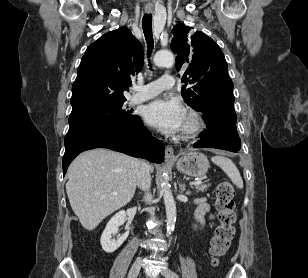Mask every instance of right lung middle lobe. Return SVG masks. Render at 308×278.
I'll return each mask as SVG.
<instances>
[{
  "label": "right lung middle lobe",
  "mask_w": 308,
  "mask_h": 278,
  "mask_svg": "<svg viewBox=\"0 0 308 278\" xmlns=\"http://www.w3.org/2000/svg\"><path fill=\"white\" fill-rule=\"evenodd\" d=\"M140 117L132 115L130 111L124 109V103L108 106L86 112L79 115L69 116V124L86 121H96L103 123H134Z\"/></svg>",
  "instance_id": "1"
}]
</instances>
